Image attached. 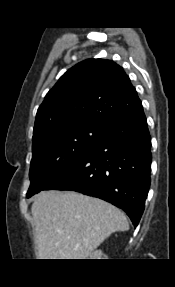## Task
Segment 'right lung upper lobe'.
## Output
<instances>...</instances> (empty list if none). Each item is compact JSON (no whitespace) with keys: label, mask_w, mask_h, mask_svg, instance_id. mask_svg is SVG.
Masks as SVG:
<instances>
[{"label":"right lung upper lobe","mask_w":175,"mask_h":287,"mask_svg":"<svg viewBox=\"0 0 175 287\" xmlns=\"http://www.w3.org/2000/svg\"><path fill=\"white\" fill-rule=\"evenodd\" d=\"M142 108L123 68L87 59L69 69L47 93L36 115L33 140L64 125H110Z\"/></svg>","instance_id":"1"}]
</instances>
